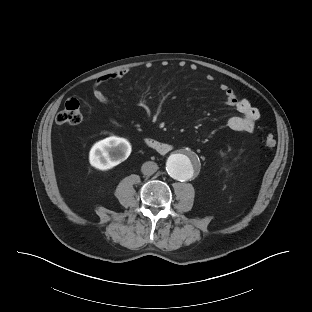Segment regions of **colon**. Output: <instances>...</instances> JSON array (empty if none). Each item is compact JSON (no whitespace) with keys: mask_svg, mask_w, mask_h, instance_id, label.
<instances>
[{"mask_svg":"<svg viewBox=\"0 0 312 312\" xmlns=\"http://www.w3.org/2000/svg\"><path fill=\"white\" fill-rule=\"evenodd\" d=\"M82 121L80 103L76 99H70L65 103L63 110L56 116L58 124L77 125ZM264 144L267 148H273L276 145V139L273 134L268 133L264 137Z\"/></svg>","mask_w":312,"mask_h":312,"instance_id":"colon-1","label":"colon"}]
</instances>
